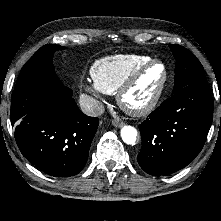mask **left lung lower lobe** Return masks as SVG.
<instances>
[{"mask_svg":"<svg viewBox=\"0 0 221 221\" xmlns=\"http://www.w3.org/2000/svg\"><path fill=\"white\" fill-rule=\"evenodd\" d=\"M213 119L207 83H193L175 92L139 125L140 167L153 176L187 166L201 151Z\"/></svg>","mask_w":221,"mask_h":221,"instance_id":"0a47b994","label":"left lung lower lobe"}]
</instances>
